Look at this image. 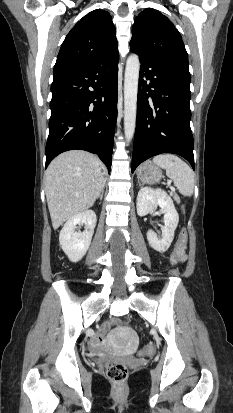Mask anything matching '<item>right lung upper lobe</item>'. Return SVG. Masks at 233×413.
Listing matches in <instances>:
<instances>
[{"label": "right lung upper lobe", "instance_id": "1", "mask_svg": "<svg viewBox=\"0 0 233 413\" xmlns=\"http://www.w3.org/2000/svg\"><path fill=\"white\" fill-rule=\"evenodd\" d=\"M115 34L108 12L101 9L91 11L66 36L53 72L76 68L118 54Z\"/></svg>", "mask_w": 233, "mask_h": 413}]
</instances>
